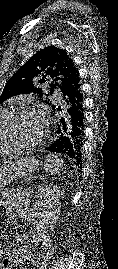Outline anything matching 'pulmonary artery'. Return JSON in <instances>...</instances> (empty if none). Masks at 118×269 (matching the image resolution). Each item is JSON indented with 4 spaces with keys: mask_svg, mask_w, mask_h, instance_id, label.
Returning <instances> with one entry per match:
<instances>
[{
    "mask_svg": "<svg viewBox=\"0 0 118 269\" xmlns=\"http://www.w3.org/2000/svg\"><path fill=\"white\" fill-rule=\"evenodd\" d=\"M53 98L57 103L62 102V96H61V94L59 92H55L54 95H53Z\"/></svg>",
    "mask_w": 118,
    "mask_h": 269,
    "instance_id": "obj_1",
    "label": "pulmonary artery"
}]
</instances>
